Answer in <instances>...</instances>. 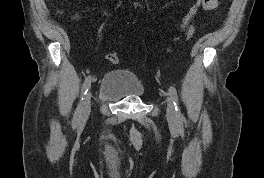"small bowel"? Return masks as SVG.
<instances>
[{"label": "small bowel", "instance_id": "obj_1", "mask_svg": "<svg viewBox=\"0 0 264 178\" xmlns=\"http://www.w3.org/2000/svg\"><path fill=\"white\" fill-rule=\"evenodd\" d=\"M123 2V0H118V2L115 5V8H119V6L121 5V3ZM218 5V0H209L206 4V6L204 7V9L206 10H210L213 9L215 7H217Z\"/></svg>", "mask_w": 264, "mask_h": 178}]
</instances>
